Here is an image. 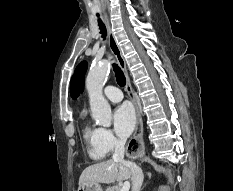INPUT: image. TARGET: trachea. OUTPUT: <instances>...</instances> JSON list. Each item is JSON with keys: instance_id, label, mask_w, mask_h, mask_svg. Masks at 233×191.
I'll return each instance as SVG.
<instances>
[{"instance_id": "1", "label": "trachea", "mask_w": 233, "mask_h": 191, "mask_svg": "<svg viewBox=\"0 0 233 191\" xmlns=\"http://www.w3.org/2000/svg\"><path fill=\"white\" fill-rule=\"evenodd\" d=\"M99 26H100V33L102 34V37L104 38L106 36V28L105 25L101 22V19H99ZM113 68L116 74V80L117 83L123 87L126 84V78L124 76V73L122 72V70L120 69V67L117 64H113Z\"/></svg>"}]
</instances>
